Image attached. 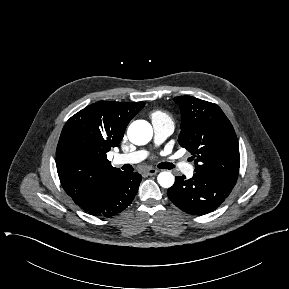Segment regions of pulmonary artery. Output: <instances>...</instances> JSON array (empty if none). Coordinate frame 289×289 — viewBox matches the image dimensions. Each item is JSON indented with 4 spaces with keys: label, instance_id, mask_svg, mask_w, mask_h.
<instances>
[{
    "label": "pulmonary artery",
    "instance_id": "pulmonary-artery-1",
    "mask_svg": "<svg viewBox=\"0 0 289 289\" xmlns=\"http://www.w3.org/2000/svg\"><path fill=\"white\" fill-rule=\"evenodd\" d=\"M154 129V139L156 144L162 143L167 137H169L173 130L174 126L170 123L164 122H153ZM147 157L146 151H135L128 154H119L114 158L116 164H135ZM176 168H179L182 172L191 175L194 171V167L190 164L178 162L174 164Z\"/></svg>",
    "mask_w": 289,
    "mask_h": 289
}]
</instances>
